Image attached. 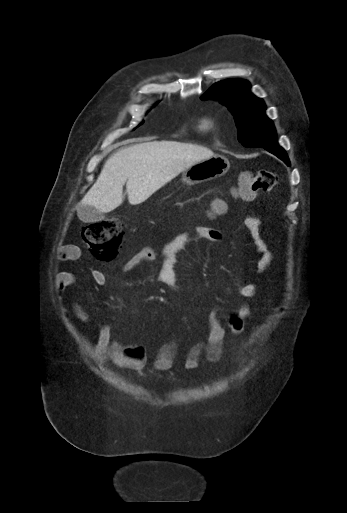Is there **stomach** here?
Wrapping results in <instances>:
<instances>
[{
    "label": "stomach",
    "mask_w": 347,
    "mask_h": 513,
    "mask_svg": "<svg viewBox=\"0 0 347 513\" xmlns=\"http://www.w3.org/2000/svg\"><path fill=\"white\" fill-rule=\"evenodd\" d=\"M229 168V160L215 154L184 170L182 180L188 185L200 184L224 175Z\"/></svg>",
    "instance_id": "stomach-1"
}]
</instances>
